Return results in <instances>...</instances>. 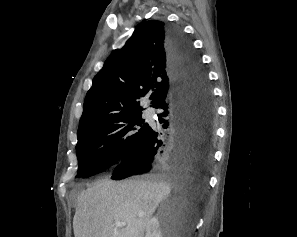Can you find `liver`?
<instances>
[{"label": "liver", "mask_w": 297, "mask_h": 237, "mask_svg": "<svg viewBox=\"0 0 297 237\" xmlns=\"http://www.w3.org/2000/svg\"><path fill=\"white\" fill-rule=\"evenodd\" d=\"M171 179L191 183L189 176H148L121 182L99 180L77 198L73 218L75 237H144L158 204L171 192ZM115 222H125L117 227Z\"/></svg>", "instance_id": "obj_1"}]
</instances>
